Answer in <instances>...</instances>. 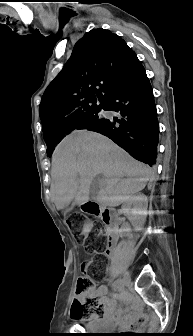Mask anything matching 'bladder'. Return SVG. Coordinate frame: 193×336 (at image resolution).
Here are the masks:
<instances>
[{"label": "bladder", "instance_id": "bladder-1", "mask_svg": "<svg viewBox=\"0 0 193 336\" xmlns=\"http://www.w3.org/2000/svg\"><path fill=\"white\" fill-rule=\"evenodd\" d=\"M102 325L101 322L97 321L95 323H93L90 327H88L89 330H99L101 329L100 326Z\"/></svg>", "mask_w": 193, "mask_h": 336}]
</instances>
